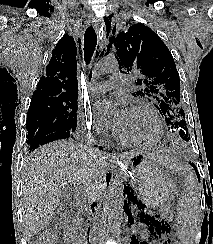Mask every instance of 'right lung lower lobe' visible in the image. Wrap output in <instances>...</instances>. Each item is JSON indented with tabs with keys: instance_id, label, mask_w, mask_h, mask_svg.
Instances as JSON below:
<instances>
[{
	"instance_id": "1",
	"label": "right lung lower lobe",
	"mask_w": 213,
	"mask_h": 244,
	"mask_svg": "<svg viewBox=\"0 0 213 244\" xmlns=\"http://www.w3.org/2000/svg\"><path fill=\"white\" fill-rule=\"evenodd\" d=\"M71 134H72V132L68 131V130L51 133V134L39 139L38 141H36L32 144H29L30 145L29 151L30 152L34 151L39 146L53 142L55 140H61V139L69 138Z\"/></svg>"
}]
</instances>
